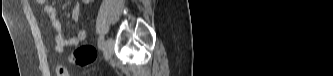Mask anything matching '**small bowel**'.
Wrapping results in <instances>:
<instances>
[{
    "label": "small bowel",
    "mask_w": 333,
    "mask_h": 76,
    "mask_svg": "<svg viewBox=\"0 0 333 76\" xmlns=\"http://www.w3.org/2000/svg\"><path fill=\"white\" fill-rule=\"evenodd\" d=\"M38 2L43 4L45 13L50 17L54 30V48L57 53H65L68 49L77 46L86 39L87 33L84 29H79L75 36L66 39L63 35L62 24L57 18L56 9L52 5L47 4L45 0H38ZM80 15V5L76 2L71 11L72 22L79 23ZM56 73L58 76L67 75L66 70L62 66L57 67Z\"/></svg>",
    "instance_id": "c3829d8e"
}]
</instances>
